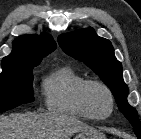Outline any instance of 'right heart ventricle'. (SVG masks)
<instances>
[{"label":"right heart ventricle","mask_w":141,"mask_h":139,"mask_svg":"<svg viewBox=\"0 0 141 139\" xmlns=\"http://www.w3.org/2000/svg\"><path fill=\"white\" fill-rule=\"evenodd\" d=\"M86 78L71 66L50 72L42 81L46 108L54 113L80 119H91L81 105L79 92Z\"/></svg>","instance_id":"e07e8e85"}]
</instances>
